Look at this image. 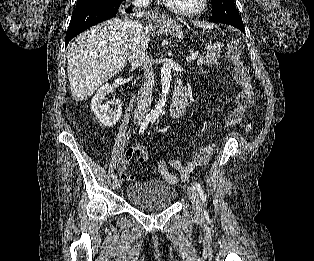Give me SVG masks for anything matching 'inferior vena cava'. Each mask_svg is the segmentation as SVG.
Segmentation results:
<instances>
[{
	"mask_svg": "<svg viewBox=\"0 0 314 261\" xmlns=\"http://www.w3.org/2000/svg\"><path fill=\"white\" fill-rule=\"evenodd\" d=\"M148 4L149 0H135L133 2L134 9L146 7ZM126 27L128 28L127 59L133 68L142 67L144 72V87L134 111V119L142 120L146 117L150 109L154 86V73L152 63L145 53V48L142 43V24L139 23V21L130 20L126 22Z\"/></svg>",
	"mask_w": 314,
	"mask_h": 261,
	"instance_id": "1",
	"label": "inferior vena cava"
}]
</instances>
